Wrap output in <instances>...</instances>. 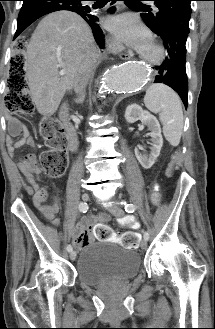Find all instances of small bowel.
<instances>
[{"label":"small bowel","instance_id":"small-bowel-1","mask_svg":"<svg viewBox=\"0 0 215 329\" xmlns=\"http://www.w3.org/2000/svg\"><path fill=\"white\" fill-rule=\"evenodd\" d=\"M10 131L13 136L22 133V137L13 141L8 140L7 146L11 154L15 149L23 146H33L34 141L29 136L23 124L19 121L12 119L10 122ZM19 168L24 177L29 182L32 190V200L34 206L52 223L58 224V220L55 219V214L58 212V204L55 199L48 202V194L45 189L39 186V175L41 170L37 165V158L33 154L25 155L19 162ZM108 221V216L105 214H99L92 218H83L79 221L76 231L73 237L74 245L78 249L85 248L91 241L92 238L88 236L87 231L90 227V232L94 236V242H115L116 235L112 225H104ZM132 224H138L133 222Z\"/></svg>","mask_w":215,"mask_h":329}]
</instances>
